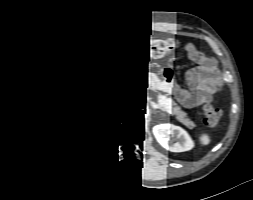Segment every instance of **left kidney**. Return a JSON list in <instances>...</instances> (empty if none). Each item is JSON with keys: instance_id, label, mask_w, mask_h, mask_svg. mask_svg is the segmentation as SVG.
<instances>
[{"instance_id": "5707ae66", "label": "left kidney", "mask_w": 253, "mask_h": 200, "mask_svg": "<svg viewBox=\"0 0 253 200\" xmlns=\"http://www.w3.org/2000/svg\"><path fill=\"white\" fill-rule=\"evenodd\" d=\"M191 125L194 126L193 122ZM153 133L156 140L168 151L186 152L193 147L192 140L187 133L173 124L157 125Z\"/></svg>"}]
</instances>
